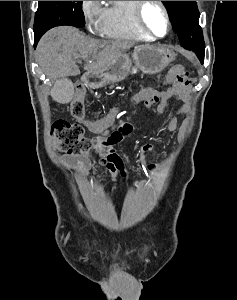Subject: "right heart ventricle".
I'll return each instance as SVG.
<instances>
[{"mask_svg":"<svg viewBox=\"0 0 237 300\" xmlns=\"http://www.w3.org/2000/svg\"><path fill=\"white\" fill-rule=\"evenodd\" d=\"M138 1H109L101 31L111 37L147 39L148 34L141 28L136 17Z\"/></svg>","mask_w":237,"mask_h":300,"instance_id":"obj_1","label":"right heart ventricle"}]
</instances>
